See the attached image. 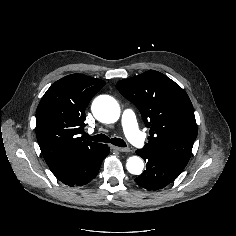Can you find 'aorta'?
I'll use <instances>...</instances> for the list:
<instances>
[{
    "instance_id": "1",
    "label": "aorta",
    "mask_w": 236,
    "mask_h": 236,
    "mask_svg": "<svg viewBox=\"0 0 236 236\" xmlns=\"http://www.w3.org/2000/svg\"><path fill=\"white\" fill-rule=\"evenodd\" d=\"M92 112L101 122L114 123L119 119L120 107L113 97L101 95L93 101ZM126 167L131 174L139 175L142 173L144 163L140 157L132 156L127 160Z\"/></svg>"
}]
</instances>
